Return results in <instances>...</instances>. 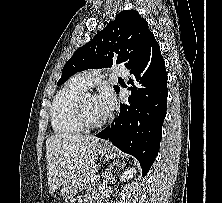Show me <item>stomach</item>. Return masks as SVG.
<instances>
[{"label": "stomach", "instance_id": "1", "mask_svg": "<svg viewBox=\"0 0 222 203\" xmlns=\"http://www.w3.org/2000/svg\"><path fill=\"white\" fill-rule=\"evenodd\" d=\"M98 152L101 155H105L110 158H115L117 156V152L114 147L112 146H103L100 145L98 147ZM80 178L79 176H74L70 180L64 183L63 188H62V196L65 199H70L75 196L77 193L78 189L80 188Z\"/></svg>", "mask_w": 222, "mask_h": 203}]
</instances>
